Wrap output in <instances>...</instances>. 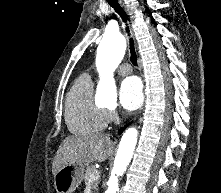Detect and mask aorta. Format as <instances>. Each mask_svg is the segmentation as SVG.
<instances>
[{
	"mask_svg": "<svg viewBox=\"0 0 221 193\" xmlns=\"http://www.w3.org/2000/svg\"><path fill=\"white\" fill-rule=\"evenodd\" d=\"M126 41L121 34L106 35L99 44L97 51V65L105 74L115 69L124 57ZM97 95L106 102L117 98L116 86L110 76L104 75L98 85ZM138 131L128 128L123 134L114 161L107 189L105 193H117L119 177H121L130 163L137 143Z\"/></svg>",
	"mask_w": 221,
	"mask_h": 193,
	"instance_id": "762f6f07",
	"label": "aorta"
}]
</instances>
